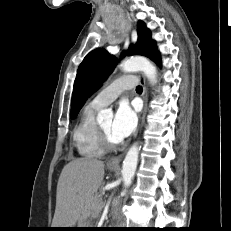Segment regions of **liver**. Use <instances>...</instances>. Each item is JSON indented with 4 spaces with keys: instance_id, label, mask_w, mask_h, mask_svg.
Wrapping results in <instances>:
<instances>
[{
    "instance_id": "obj_1",
    "label": "liver",
    "mask_w": 231,
    "mask_h": 231,
    "mask_svg": "<svg viewBox=\"0 0 231 231\" xmlns=\"http://www.w3.org/2000/svg\"><path fill=\"white\" fill-rule=\"evenodd\" d=\"M104 166L103 161L87 157L64 166L57 184L52 228H71L90 216V198L102 184Z\"/></svg>"
}]
</instances>
